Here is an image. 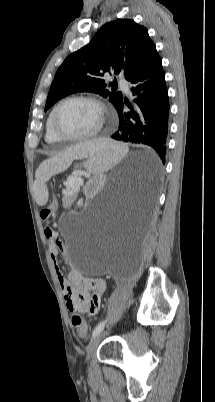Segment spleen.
Wrapping results in <instances>:
<instances>
[{"mask_svg":"<svg viewBox=\"0 0 215 402\" xmlns=\"http://www.w3.org/2000/svg\"><path fill=\"white\" fill-rule=\"evenodd\" d=\"M128 152V147L109 139H95L72 146L58 157L43 162L36 172V201L40 208H45L47 201V185L45 182L54 174L67 169L73 159L86 157L84 167L96 177V171L110 169Z\"/></svg>","mask_w":215,"mask_h":402,"instance_id":"obj_1","label":"spleen"}]
</instances>
